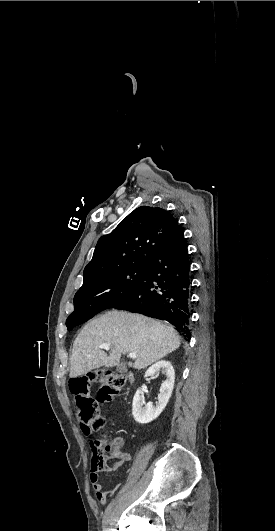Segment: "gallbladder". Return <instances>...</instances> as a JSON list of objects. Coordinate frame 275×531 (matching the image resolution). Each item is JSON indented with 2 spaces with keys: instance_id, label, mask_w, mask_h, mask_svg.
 <instances>
[{
  "instance_id": "bac80fb5",
  "label": "gallbladder",
  "mask_w": 275,
  "mask_h": 531,
  "mask_svg": "<svg viewBox=\"0 0 275 531\" xmlns=\"http://www.w3.org/2000/svg\"><path fill=\"white\" fill-rule=\"evenodd\" d=\"M116 371H118V373H127L126 363H119L116 367Z\"/></svg>"
}]
</instances>
